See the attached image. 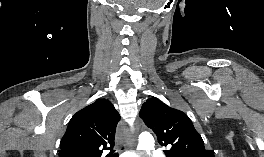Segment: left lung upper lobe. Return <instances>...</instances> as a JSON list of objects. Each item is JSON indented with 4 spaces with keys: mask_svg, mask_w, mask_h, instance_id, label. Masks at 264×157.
<instances>
[{
    "mask_svg": "<svg viewBox=\"0 0 264 157\" xmlns=\"http://www.w3.org/2000/svg\"><path fill=\"white\" fill-rule=\"evenodd\" d=\"M140 116L147 127L157 135L167 157H214L213 150H206L200 134L189 117L157 98L148 99Z\"/></svg>",
    "mask_w": 264,
    "mask_h": 157,
    "instance_id": "left-lung-upper-lobe-1",
    "label": "left lung upper lobe"
}]
</instances>
